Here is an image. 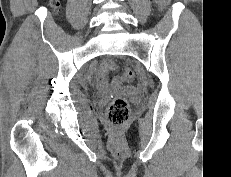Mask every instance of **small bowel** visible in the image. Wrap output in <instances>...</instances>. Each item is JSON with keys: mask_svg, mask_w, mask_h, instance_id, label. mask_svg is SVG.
Listing matches in <instances>:
<instances>
[{"mask_svg": "<svg viewBox=\"0 0 231 177\" xmlns=\"http://www.w3.org/2000/svg\"><path fill=\"white\" fill-rule=\"evenodd\" d=\"M117 66L110 60H106L98 71L96 78V83L98 88L103 92H108L110 90H119L122 87V81L120 77H115L112 82H109L107 75L109 73L115 72Z\"/></svg>", "mask_w": 231, "mask_h": 177, "instance_id": "obj_1", "label": "small bowel"}]
</instances>
